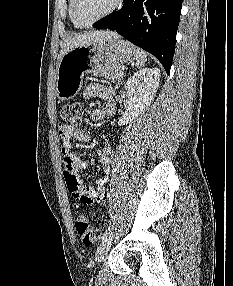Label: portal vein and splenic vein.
I'll return each mask as SVG.
<instances>
[{
	"instance_id": "portal-vein-and-splenic-vein-1",
	"label": "portal vein and splenic vein",
	"mask_w": 233,
	"mask_h": 286,
	"mask_svg": "<svg viewBox=\"0 0 233 286\" xmlns=\"http://www.w3.org/2000/svg\"><path fill=\"white\" fill-rule=\"evenodd\" d=\"M119 76H120V77H123V76H124V73L121 71V72L119 73Z\"/></svg>"
}]
</instances>
